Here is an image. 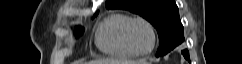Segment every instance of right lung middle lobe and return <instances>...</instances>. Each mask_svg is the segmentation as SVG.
Masks as SVG:
<instances>
[{"mask_svg":"<svg viewBox=\"0 0 242 64\" xmlns=\"http://www.w3.org/2000/svg\"><path fill=\"white\" fill-rule=\"evenodd\" d=\"M95 15H97V13L95 14ZM83 33V28H79L78 30H77V32H76V36H79V35H81Z\"/></svg>","mask_w":242,"mask_h":64,"instance_id":"obj_1","label":"right lung middle lobe"}]
</instances>
